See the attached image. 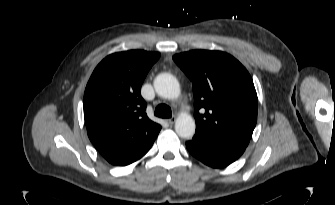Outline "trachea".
<instances>
[{
    "label": "trachea",
    "instance_id": "trachea-1",
    "mask_svg": "<svg viewBox=\"0 0 335 205\" xmlns=\"http://www.w3.org/2000/svg\"><path fill=\"white\" fill-rule=\"evenodd\" d=\"M154 114L160 118H170L172 116V111L168 105L160 104L155 108Z\"/></svg>",
    "mask_w": 335,
    "mask_h": 205
}]
</instances>
